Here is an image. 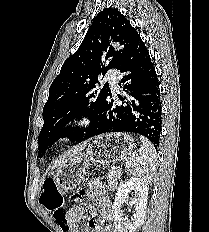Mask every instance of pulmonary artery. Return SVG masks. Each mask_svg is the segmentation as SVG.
I'll return each instance as SVG.
<instances>
[{
	"mask_svg": "<svg viewBox=\"0 0 209 232\" xmlns=\"http://www.w3.org/2000/svg\"><path fill=\"white\" fill-rule=\"evenodd\" d=\"M105 81H107L113 89H118V79L115 71H109L106 74Z\"/></svg>",
	"mask_w": 209,
	"mask_h": 232,
	"instance_id": "1",
	"label": "pulmonary artery"
}]
</instances>
